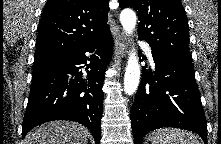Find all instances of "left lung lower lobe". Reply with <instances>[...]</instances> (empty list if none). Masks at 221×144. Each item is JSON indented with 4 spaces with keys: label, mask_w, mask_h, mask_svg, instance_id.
<instances>
[{
    "label": "left lung lower lobe",
    "mask_w": 221,
    "mask_h": 144,
    "mask_svg": "<svg viewBox=\"0 0 221 144\" xmlns=\"http://www.w3.org/2000/svg\"><path fill=\"white\" fill-rule=\"evenodd\" d=\"M155 72L143 69L131 109L135 144L162 127L197 133L207 143V123L192 61L152 50Z\"/></svg>",
    "instance_id": "obj_1"
}]
</instances>
